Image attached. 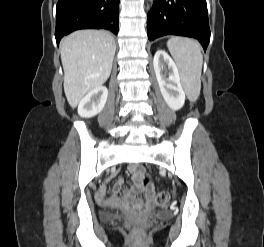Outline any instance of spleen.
<instances>
[{
	"label": "spleen",
	"instance_id": "spleen-1",
	"mask_svg": "<svg viewBox=\"0 0 264 247\" xmlns=\"http://www.w3.org/2000/svg\"><path fill=\"white\" fill-rule=\"evenodd\" d=\"M168 49L179 69L184 90L191 101H196L201 89L203 56L200 45L188 38L173 37Z\"/></svg>",
	"mask_w": 264,
	"mask_h": 247
}]
</instances>
